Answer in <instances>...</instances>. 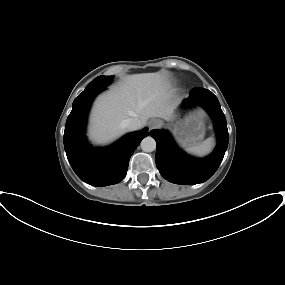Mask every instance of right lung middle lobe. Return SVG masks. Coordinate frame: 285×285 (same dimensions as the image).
I'll list each match as a JSON object with an SVG mask.
<instances>
[{"instance_id": "right-lung-middle-lobe-1", "label": "right lung middle lobe", "mask_w": 285, "mask_h": 285, "mask_svg": "<svg viewBox=\"0 0 285 285\" xmlns=\"http://www.w3.org/2000/svg\"><path fill=\"white\" fill-rule=\"evenodd\" d=\"M114 76H99L90 82L82 93L90 92L103 88L113 81Z\"/></svg>"}]
</instances>
